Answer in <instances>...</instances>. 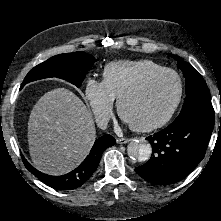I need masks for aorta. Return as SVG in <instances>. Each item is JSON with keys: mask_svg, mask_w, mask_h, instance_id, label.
<instances>
[{"mask_svg": "<svg viewBox=\"0 0 221 221\" xmlns=\"http://www.w3.org/2000/svg\"><path fill=\"white\" fill-rule=\"evenodd\" d=\"M127 153L132 160L144 162L150 158L152 147L146 140L135 139L128 144Z\"/></svg>", "mask_w": 221, "mask_h": 221, "instance_id": "762f6f07", "label": "aorta"}]
</instances>
